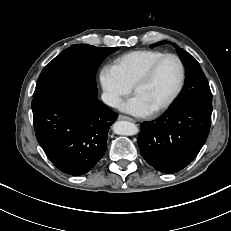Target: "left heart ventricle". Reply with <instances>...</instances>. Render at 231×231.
I'll return each mask as SVG.
<instances>
[{
  "mask_svg": "<svg viewBox=\"0 0 231 231\" xmlns=\"http://www.w3.org/2000/svg\"><path fill=\"white\" fill-rule=\"evenodd\" d=\"M180 79V68L173 58H166L157 66L148 82L138 87L135 94L154 110L175 91Z\"/></svg>",
  "mask_w": 231,
  "mask_h": 231,
  "instance_id": "b2bd125f",
  "label": "left heart ventricle"
}]
</instances>
